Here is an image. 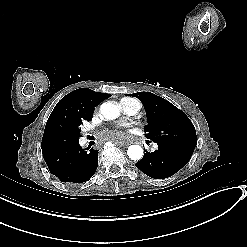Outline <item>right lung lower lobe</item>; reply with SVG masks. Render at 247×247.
<instances>
[{"instance_id": "right-lung-lower-lobe-1", "label": "right lung lower lobe", "mask_w": 247, "mask_h": 247, "mask_svg": "<svg viewBox=\"0 0 247 247\" xmlns=\"http://www.w3.org/2000/svg\"><path fill=\"white\" fill-rule=\"evenodd\" d=\"M43 157L50 172L62 182H86L98 166V151L87 152L78 142L56 151H43Z\"/></svg>"}]
</instances>
